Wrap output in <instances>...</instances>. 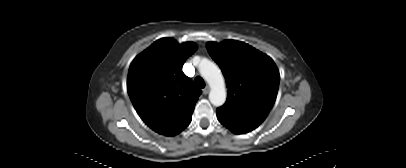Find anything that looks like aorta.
Instances as JSON below:
<instances>
[{
	"label": "aorta",
	"instance_id": "1",
	"mask_svg": "<svg viewBox=\"0 0 406 168\" xmlns=\"http://www.w3.org/2000/svg\"><path fill=\"white\" fill-rule=\"evenodd\" d=\"M199 72L209 84L211 91L209 100L212 105L219 107L226 101L225 80L219 67L207 59H202L199 66Z\"/></svg>",
	"mask_w": 406,
	"mask_h": 168
}]
</instances>
